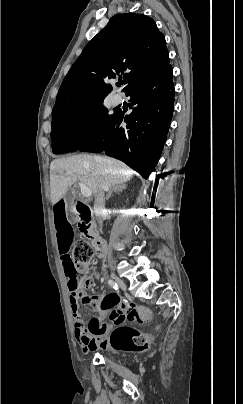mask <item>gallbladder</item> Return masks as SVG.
Wrapping results in <instances>:
<instances>
[{
  "label": "gallbladder",
  "instance_id": "gallbladder-1",
  "mask_svg": "<svg viewBox=\"0 0 243 404\" xmlns=\"http://www.w3.org/2000/svg\"><path fill=\"white\" fill-rule=\"evenodd\" d=\"M64 200H65V206H66V210L68 213V223L70 225H73L75 223V217L76 214L74 213L73 210V204H74V200H75V192H74V188H68L65 196H64Z\"/></svg>",
  "mask_w": 243,
  "mask_h": 404
}]
</instances>
